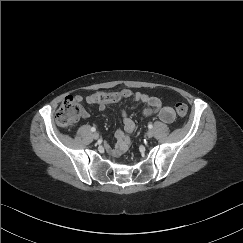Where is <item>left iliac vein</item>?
<instances>
[{
	"instance_id": "4c4485c4",
	"label": "left iliac vein",
	"mask_w": 243,
	"mask_h": 243,
	"mask_svg": "<svg viewBox=\"0 0 243 243\" xmlns=\"http://www.w3.org/2000/svg\"><path fill=\"white\" fill-rule=\"evenodd\" d=\"M146 136H147L148 138L153 137V136H154L153 131L149 130V131L146 133Z\"/></svg>"
}]
</instances>
